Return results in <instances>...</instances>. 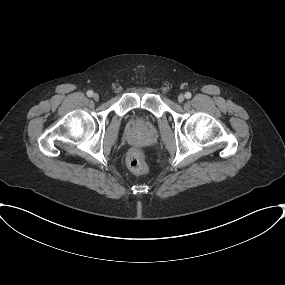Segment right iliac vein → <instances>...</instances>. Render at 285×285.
<instances>
[{
  "instance_id": "1",
  "label": "right iliac vein",
  "mask_w": 285,
  "mask_h": 285,
  "mask_svg": "<svg viewBox=\"0 0 285 285\" xmlns=\"http://www.w3.org/2000/svg\"><path fill=\"white\" fill-rule=\"evenodd\" d=\"M93 99H94L95 101H98V100H99V95H98L97 93H94V94H93Z\"/></svg>"
}]
</instances>
